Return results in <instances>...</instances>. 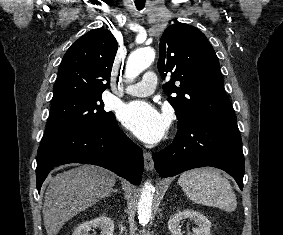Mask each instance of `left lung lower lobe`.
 <instances>
[{"mask_svg":"<svg viewBox=\"0 0 283 235\" xmlns=\"http://www.w3.org/2000/svg\"><path fill=\"white\" fill-rule=\"evenodd\" d=\"M152 155L162 178L212 166L226 171L243 189L244 156L235 115L200 120L179 128L173 143Z\"/></svg>","mask_w":283,"mask_h":235,"instance_id":"0a47b994","label":"left lung lower lobe"}]
</instances>
